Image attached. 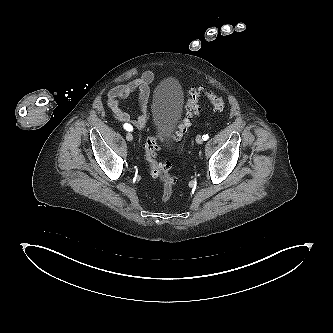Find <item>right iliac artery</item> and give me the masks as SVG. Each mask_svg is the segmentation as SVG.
Segmentation results:
<instances>
[{
    "instance_id": "obj_1",
    "label": "right iliac artery",
    "mask_w": 333,
    "mask_h": 333,
    "mask_svg": "<svg viewBox=\"0 0 333 333\" xmlns=\"http://www.w3.org/2000/svg\"><path fill=\"white\" fill-rule=\"evenodd\" d=\"M123 127L127 131H132L133 130V127L130 124H124Z\"/></svg>"
}]
</instances>
